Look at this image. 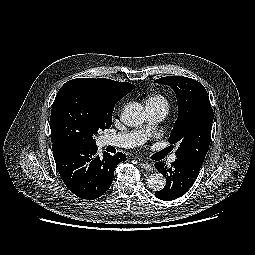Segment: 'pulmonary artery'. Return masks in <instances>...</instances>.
<instances>
[{"label":"pulmonary artery","mask_w":255,"mask_h":255,"mask_svg":"<svg viewBox=\"0 0 255 255\" xmlns=\"http://www.w3.org/2000/svg\"><path fill=\"white\" fill-rule=\"evenodd\" d=\"M146 111L149 120L148 125L123 133L107 135L104 138V143L121 148H134L144 144L153 130V125L163 120L166 116L167 108L161 106H146ZM175 160L176 155L172 154L169 158V162H174Z\"/></svg>","instance_id":"1"}]
</instances>
